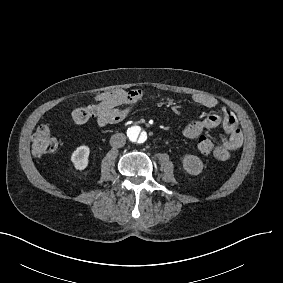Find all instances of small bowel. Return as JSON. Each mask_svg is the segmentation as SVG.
Segmentation results:
<instances>
[{
    "instance_id": "small-bowel-1",
    "label": "small bowel",
    "mask_w": 283,
    "mask_h": 283,
    "mask_svg": "<svg viewBox=\"0 0 283 283\" xmlns=\"http://www.w3.org/2000/svg\"><path fill=\"white\" fill-rule=\"evenodd\" d=\"M145 96L146 93L140 89L115 88L98 93L95 96L94 106L96 122L101 127L121 122ZM192 100L205 108H215L218 105V100L208 94H194ZM218 126H222L224 136L220 140V152L213 156L219 161H226L230 158L231 152L240 148L244 142L237 118L229 108L222 107L203 120L192 121L184 128L183 134L190 138L194 130L212 129Z\"/></svg>"
}]
</instances>
